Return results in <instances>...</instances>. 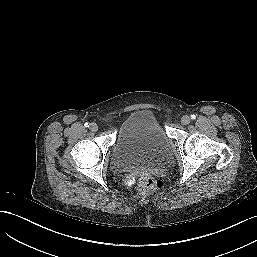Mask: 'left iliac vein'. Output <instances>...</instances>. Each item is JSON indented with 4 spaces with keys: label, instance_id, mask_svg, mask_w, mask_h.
Returning a JSON list of instances; mask_svg holds the SVG:
<instances>
[{
    "label": "left iliac vein",
    "instance_id": "4c4485c4",
    "mask_svg": "<svg viewBox=\"0 0 257 257\" xmlns=\"http://www.w3.org/2000/svg\"><path fill=\"white\" fill-rule=\"evenodd\" d=\"M181 123H182L183 125H188V124L190 123V117L187 116V115L183 116V117L181 118Z\"/></svg>",
    "mask_w": 257,
    "mask_h": 257
}]
</instances>
